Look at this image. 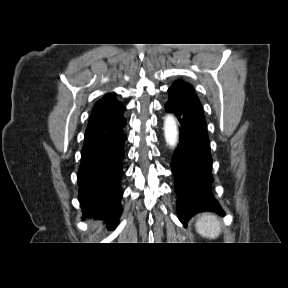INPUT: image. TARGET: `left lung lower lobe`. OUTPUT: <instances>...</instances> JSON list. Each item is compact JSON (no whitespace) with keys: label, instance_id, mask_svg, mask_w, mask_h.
Segmentation results:
<instances>
[{"label":"left lung lower lobe","instance_id":"1","mask_svg":"<svg viewBox=\"0 0 288 288\" xmlns=\"http://www.w3.org/2000/svg\"><path fill=\"white\" fill-rule=\"evenodd\" d=\"M165 108L177 116L180 124V141L171 163L179 220L186 227L189 219L202 211L224 215L211 192L210 142L198 97L190 92H169Z\"/></svg>","mask_w":288,"mask_h":288}]
</instances>
